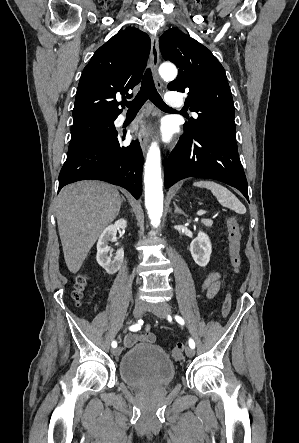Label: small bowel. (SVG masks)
<instances>
[{
	"mask_svg": "<svg viewBox=\"0 0 299 443\" xmlns=\"http://www.w3.org/2000/svg\"><path fill=\"white\" fill-rule=\"evenodd\" d=\"M208 298H213L220 288V275L216 272L207 274L202 284ZM156 336L152 333L151 325H146L141 333H129L126 334L123 339V345L125 347H132L136 343H154Z\"/></svg>",
	"mask_w": 299,
	"mask_h": 443,
	"instance_id": "obj_1",
	"label": "small bowel"
}]
</instances>
